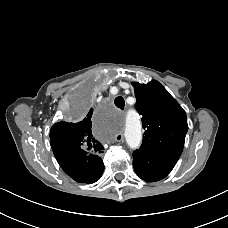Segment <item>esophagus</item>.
<instances>
[{
  "label": "esophagus",
  "instance_id": "1",
  "mask_svg": "<svg viewBox=\"0 0 228 228\" xmlns=\"http://www.w3.org/2000/svg\"><path fill=\"white\" fill-rule=\"evenodd\" d=\"M123 139H124L123 133H118V134H116L115 140H116L117 142H121V141H123Z\"/></svg>",
  "mask_w": 228,
  "mask_h": 228
}]
</instances>
